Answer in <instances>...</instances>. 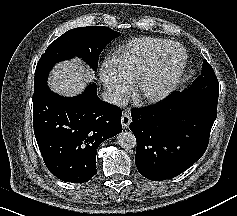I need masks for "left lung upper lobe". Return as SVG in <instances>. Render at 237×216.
Returning a JSON list of instances; mask_svg holds the SVG:
<instances>
[{
	"mask_svg": "<svg viewBox=\"0 0 237 216\" xmlns=\"http://www.w3.org/2000/svg\"><path fill=\"white\" fill-rule=\"evenodd\" d=\"M181 94L217 105L219 84L212 67L206 60L203 62L201 75Z\"/></svg>",
	"mask_w": 237,
	"mask_h": 216,
	"instance_id": "left-lung-upper-lobe-1",
	"label": "left lung upper lobe"
}]
</instances>
